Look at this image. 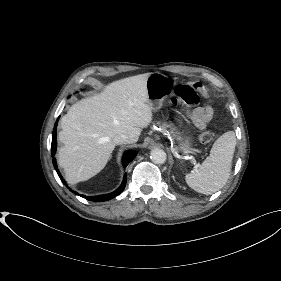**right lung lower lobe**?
Returning a JSON list of instances; mask_svg holds the SVG:
<instances>
[{"instance_id":"right-lung-lower-lobe-1","label":"right lung lower lobe","mask_w":281,"mask_h":281,"mask_svg":"<svg viewBox=\"0 0 281 281\" xmlns=\"http://www.w3.org/2000/svg\"><path fill=\"white\" fill-rule=\"evenodd\" d=\"M57 123H58V121H56V123L54 125L53 134H52V144H51V155H52V157H54L55 152H56V144H57V142H56V126H57ZM135 156H136V152L135 151H129V152L125 153L124 156H123V164H124V166H127L128 163L135 158ZM53 165H54V167H55V169H56L60 179L66 185V182L63 180V177L61 176V174H60V172L58 170L55 158L53 159ZM125 186H126V174L124 175L123 182L119 186V188H117L114 192H112L110 194L90 197V196H84V195L78 194L77 192H74V193L79 195V196H81V197H84L87 200L99 202V201L110 200V199L116 197L117 195H119L124 190Z\"/></svg>"}]
</instances>
